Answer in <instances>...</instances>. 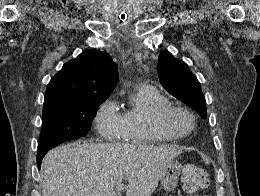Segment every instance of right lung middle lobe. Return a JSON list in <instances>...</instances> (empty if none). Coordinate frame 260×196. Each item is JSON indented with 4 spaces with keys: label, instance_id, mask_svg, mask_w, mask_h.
<instances>
[{
    "label": "right lung middle lobe",
    "instance_id": "1",
    "mask_svg": "<svg viewBox=\"0 0 260 196\" xmlns=\"http://www.w3.org/2000/svg\"><path fill=\"white\" fill-rule=\"evenodd\" d=\"M104 100L94 98L44 106L38 149L52 148L65 141L85 137L98 106Z\"/></svg>",
    "mask_w": 260,
    "mask_h": 196
}]
</instances>
